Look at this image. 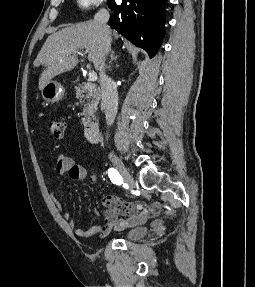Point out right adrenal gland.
Masks as SVG:
<instances>
[{
  "label": "right adrenal gland",
  "mask_w": 255,
  "mask_h": 287,
  "mask_svg": "<svg viewBox=\"0 0 255 287\" xmlns=\"http://www.w3.org/2000/svg\"><path fill=\"white\" fill-rule=\"evenodd\" d=\"M110 58H111V60H110V64H111V62H113V60H117L118 56H115L114 52H111Z\"/></svg>",
  "instance_id": "1"
}]
</instances>
